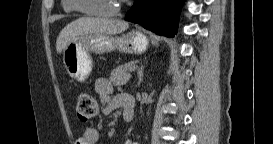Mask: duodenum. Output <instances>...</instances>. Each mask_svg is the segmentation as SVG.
Segmentation results:
<instances>
[{
  "instance_id": "duodenum-1",
  "label": "duodenum",
  "mask_w": 273,
  "mask_h": 144,
  "mask_svg": "<svg viewBox=\"0 0 273 144\" xmlns=\"http://www.w3.org/2000/svg\"><path fill=\"white\" fill-rule=\"evenodd\" d=\"M118 103L123 109V119L131 121L134 117L135 99L129 94H120L118 96Z\"/></svg>"
}]
</instances>
